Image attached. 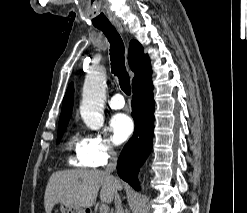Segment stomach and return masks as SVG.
I'll return each instance as SVG.
<instances>
[{
  "label": "stomach",
  "mask_w": 247,
  "mask_h": 213,
  "mask_svg": "<svg viewBox=\"0 0 247 213\" xmlns=\"http://www.w3.org/2000/svg\"><path fill=\"white\" fill-rule=\"evenodd\" d=\"M61 213H88L87 209L65 203L60 204Z\"/></svg>",
  "instance_id": "obj_1"
}]
</instances>
